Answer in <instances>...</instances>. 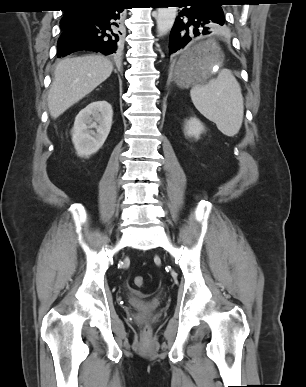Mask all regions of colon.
I'll use <instances>...</instances> for the list:
<instances>
[{
	"label": "colon",
	"instance_id": "obj_1",
	"mask_svg": "<svg viewBox=\"0 0 306 387\" xmlns=\"http://www.w3.org/2000/svg\"><path fill=\"white\" fill-rule=\"evenodd\" d=\"M134 285L138 288H142L145 285V279L142 276H136L133 279ZM149 332V327L144 328V333L147 334Z\"/></svg>",
	"mask_w": 306,
	"mask_h": 387
}]
</instances>
